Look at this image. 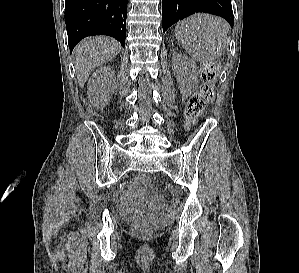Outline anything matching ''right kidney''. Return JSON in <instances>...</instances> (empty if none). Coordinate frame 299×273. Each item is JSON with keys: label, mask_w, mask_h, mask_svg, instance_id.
<instances>
[{"label": "right kidney", "mask_w": 299, "mask_h": 273, "mask_svg": "<svg viewBox=\"0 0 299 273\" xmlns=\"http://www.w3.org/2000/svg\"><path fill=\"white\" fill-rule=\"evenodd\" d=\"M112 76H114L112 67L104 66L96 70L88 81V98L97 108L104 107L113 92V81L106 82V78Z\"/></svg>", "instance_id": "1"}]
</instances>
